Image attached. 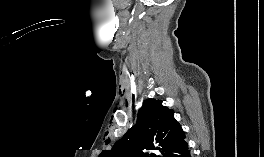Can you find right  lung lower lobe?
Masks as SVG:
<instances>
[{"label": "right lung lower lobe", "instance_id": "right-lung-lower-lobe-1", "mask_svg": "<svg viewBox=\"0 0 264 157\" xmlns=\"http://www.w3.org/2000/svg\"><path fill=\"white\" fill-rule=\"evenodd\" d=\"M164 157H192L190 149L185 139Z\"/></svg>", "mask_w": 264, "mask_h": 157}]
</instances>
